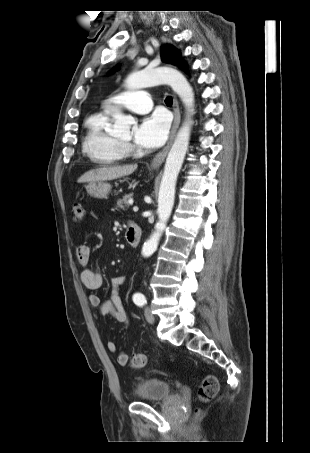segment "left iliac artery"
I'll use <instances>...</instances> for the list:
<instances>
[{
	"instance_id": "44dca946",
	"label": "left iliac artery",
	"mask_w": 310,
	"mask_h": 453,
	"mask_svg": "<svg viewBox=\"0 0 310 453\" xmlns=\"http://www.w3.org/2000/svg\"><path fill=\"white\" fill-rule=\"evenodd\" d=\"M133 301L138 306H144L147 302L145 296L141 293H135L133 295Z\"/></svg>"
}]
</instances>
